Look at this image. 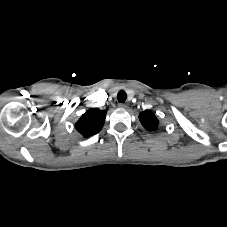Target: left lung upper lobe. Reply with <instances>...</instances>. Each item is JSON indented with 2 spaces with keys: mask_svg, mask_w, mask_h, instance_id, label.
I'll return each instance as SVG.
<instances>
[{
  "mask_svg": "<svg viewBox=\"0 0 227 227\" xmlns=\"http://www.w3.org/2000/svg\"><path fill=\"white\" fill-rule=\"evenodd\" d=\"M139 119L143 125V127L147 130L153 131L158 127V119L155 117L154 113L151 111H143L139 115Z\"/></svg>",
  "mask_w": 227,
  "mask_h": 227,
  "instance_id": "5c2ea615",
  "label": "left lung upper lobe"
}]
</instances>
